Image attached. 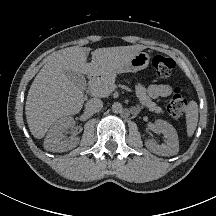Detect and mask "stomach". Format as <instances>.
Masks as SVG:
<instances>
[{
	"mask_svg": "<svg viewBox=\"0 0 216 216\" xmlns=\"http://www.w3.org/2000/svg\"><path fill=\"white\" fill-rule=\"evenodd\" d=\"M150 56L146 52L136 53L129 61L123 63L116 70L103 75L125 72H137L148 67Z\"/></svg>",
	"mask_w": 216,
	"mask_h": 216,
	"instance_id": "obj_1",
	"label": "stomach"
}]
</instances>
